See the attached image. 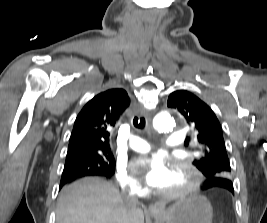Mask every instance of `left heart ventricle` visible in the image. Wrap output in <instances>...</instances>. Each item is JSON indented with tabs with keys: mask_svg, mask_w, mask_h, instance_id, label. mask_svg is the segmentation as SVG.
Returning <instances> with one entry per match:
<instances>
[{
	"mask_svg": "<svg viewBox=\"0 0 267 223\" xmlns=\"http://www.w3.org/2000/svg\"><path fill=\"white\" fill-rule=\"evenodd\" d=\"M191 179L185 171L171 172L169 179L159 188L160 191H173L185 188Z\"/></svg>",
	"mask_w": 267,
	"mask_h": 223,
	"instance_id": "left-heart-ventricle-1",
	"label": "left heart ventricle"
}]
</instances>
